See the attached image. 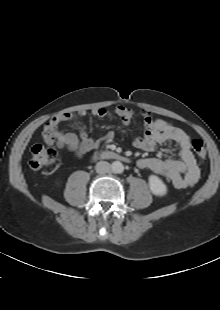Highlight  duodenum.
<instances>
[{
	"label": "duodenum",
	"instance_id": "obj_1",
	"mask_svg": "<svg viewBox=\"0 0 220 310\" xmlns=\"http://www.w3.org/2000/svg\"><path fill=\"white\" fill-rule=\"evenodd\" d=\"M99 156L106 158V159H111V160H122V161L128 160L123 155H120V154H118L116 152H112V151L102 152L100 155H96L95 158H98Z\"/></svg>",
	"mask_w": 220,
	"mask_h": 310
}]
</instances>
